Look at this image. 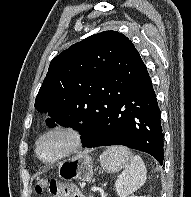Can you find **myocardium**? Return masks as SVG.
I'll list each match as a JSON object with an SVG mask.
<instances>
[{
    "mask_svg": "<svg viewBox=\"0 0 191 197\" xmlns=\"http://www.w3.org/2000/svg\"><path fill=\"white\" fill-rule=\"evenodd\" d=\"M54 134L63 135L68 142V146L64 152L53 159H44L40 154L41 142ZM83 134L77 127L69 124H55L46 128L37 138L35 142V154L40 162L46 165H52L62 160L69 158L70 156L77 153L83 146Z\"/></svg>",
    "mask_w": 191,
    "mask_h": 197,
    "instance_id": "f54148a6",
    "label": "myocardium"
}]
</instances>
